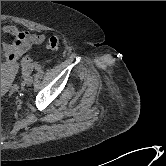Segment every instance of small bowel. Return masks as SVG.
Instances as JSON below:
<instances>
[{"label":"small bowel","mask_w":166,"mask_h":166,"mask_svg":"<svg viewBox=\"0 0 166 166\" xmlns=\"http://www.w3.org/2000/svg\"><path fill=\"white\" fill-rule=\"evenodd\" d=\"M1 34H7L13 37L11 43L5 44L4 55L6 56L10 70L17 68V60L30 50L33 46L43 43L44 33H29L18 28L15 25H4L1 27Z\"/></svg>","instance_id":"1"}]
</instances>
